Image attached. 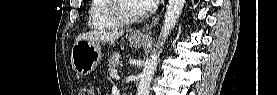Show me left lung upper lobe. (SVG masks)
<instances>
[{
	"mask_svg": "<svg viewBox=\"0 0 277 95\" xmlns=\"http://www.w3.org/2000/svg\"><path fill=\"white\" fill-rule=\"evenodd\" d=\"M83 2H84V3H86V2H87V0H83Z\"/></svg>",
	"mask_w": 277,
	"mask_h": 95,
	"instance_id": "obj_1",
	"label": "left lung upper lobe"
}]
</instances>
